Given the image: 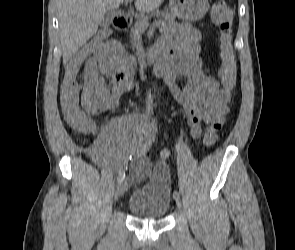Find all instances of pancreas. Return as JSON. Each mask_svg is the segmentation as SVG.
Returning a JSON list of instances; mask_svg holds the SVG:
<instances>
[{
  "label": "pancreas",
  "instance_id": "pancreas-1",
  "mask_svg": "<svg viewBox=\"0 0 295 250\" xmlns=\"http://www.w3.org/2000/svg\"><path fill=\"white\" fill-rule=\"evenodd\" d=\"M154 16L164 19L163 27L175 24V15L167 11H156L150 15V17H154ZM148 21H149V17L147 16H137L135 25L134 27L131 28V44L133 49L141 46V44L138 43V40L141 39V34L146 29L145 27H142V23L143 22L148 23ZM131 59L135 60L134 57H132Z\"/></svg>",
  "mask_w": 295,
  "mask_h": 250
}]
</instances>
